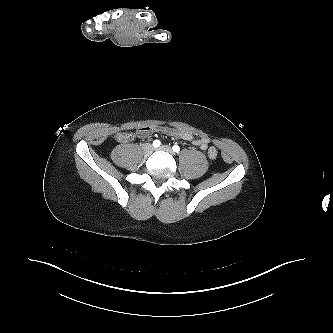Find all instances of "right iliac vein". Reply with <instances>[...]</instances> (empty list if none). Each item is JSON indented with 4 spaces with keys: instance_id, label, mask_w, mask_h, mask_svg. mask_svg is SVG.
Returning a JSON list of instances; mask_svg holds the SVG:
<instances>
[{
    "instance_id": "obj_1",
    "label": "right iliac vein",
    "mask_w": 333,
    "mask_h": 333,
    "mask_svg": "<svg viewBox=\"0 0 333 333\" xmlns=\"http://www.w3.org/2000/svg\"><path fill=\"white\" fill-rule=\"evenodd\" d=\"M142 150L145 155H150L153 151V146L150 143H145L142 146Z\"/></svg>"
}]
</instances>
